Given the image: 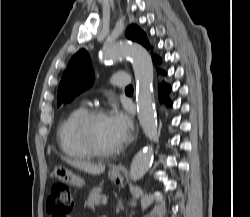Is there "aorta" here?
I'll return each mask as SVG.
<instances>
[{"label":"aorta","mask_w":250,"mask_h":217,"mask_svg":"<svg viewBox=\"0 0 250 217\" xmlns=\"http://www.w3.org/2000/svg\"><path fill=\"white\" fill-rule=\"evenodd\" d=\"M103 60H115L128 57L131 60L137 81L138 119L145 135L154 140L157 137L155 104L152 97L153 63L147 50L136 43H115L104 47ZM153 159V147L149 145L139 151L132 160L130 177L133 181L141 179L149 170Z\"/></svg>","instance_id":"obj_1"}]
</instances>
